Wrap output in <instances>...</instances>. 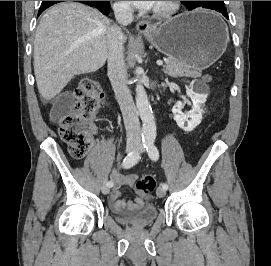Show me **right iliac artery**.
<instances>
[{
	"instance_id": "82829eb1",
	"label": "right iliac artery",
	"mask_w": 271,
	"mask_h": 266,
	"mask_svg": "<svg viewBox=\"0 0 271 266\" xmlns=\"http://www.w3.org/2000/svg\"><path fill=\"white\" fill-rule=\"evenodd\" d=\"M144 148L147 146V143H144ZM140 158L139 152L137 151H132L130 152L123 160L122 162V167L125 169L131 168L132 166H134L138 160ZM107 185L109 187L113 186V182L112 181H108Z\"/></svg>"
}]
</instances>
